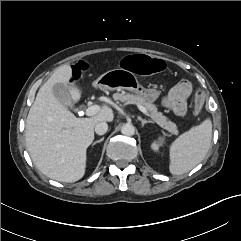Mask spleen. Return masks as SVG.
<instances>
[{"label": "spleen", "instance_id": "3e777b00", "mask_svg": "<svg viewBox=\"0 0 241 241\" xmlns=\"http://www.w3.org/2000/svg\"><path fill=\"white\" fill-rule=\"evenodd\" d=\"M212 139V122L204 120L175 139L169 148V171L181 175L196 167L209 151Z\"/></svg>", "mask_w": 241, "mask_h": 241}]
</instances>
